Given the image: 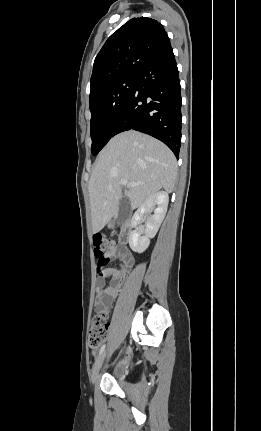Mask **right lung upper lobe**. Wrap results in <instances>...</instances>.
I'll return each instance as SVG.
<instances>
[{
    "label": "right lung upper lobe",
    "instance_id": "cb5924a9",
    "mask_svg": "<svg viewBox=\"0 0 261 431\" xmlns=\"http://www.w3.org/2000/svg\"><path fill=\"white\" fill-rule=\"evenodd\" d=\"M171 47L157 20L133 18L115 31L95 58L90 92L125 76L138 75L152 59Z\"/></svg>",
    "mask_w": 261,
    "mask_h": 431
}]
</instances>
